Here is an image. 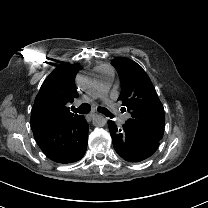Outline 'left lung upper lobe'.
I'll list each match as a JSON object with an SVG mask.
<instances>
[{
  "instance_id": "1",
  "label": "left lung upper lobe",
  "mask_w": 208,
  "mask_h": 208,
  "mask_svg": "<svg viewBox=\"0 0 208 208\" xmlns=\"http://www.w3.org/2000/svg\"><path fill=\"white\" fill-rule=\"evenodd\" d=\"M111 64L121 80L118 100L122 101V110L131 115L127 122L138 132L160 141L165 124L164 108L150 78L139 64L130 59L116 58Z\"/></svg>"
}]
</instances>
